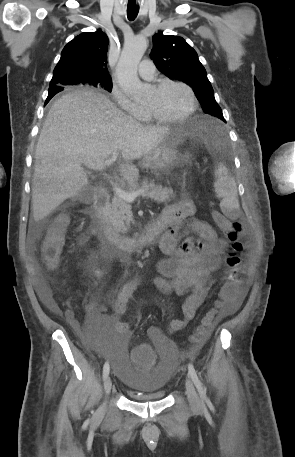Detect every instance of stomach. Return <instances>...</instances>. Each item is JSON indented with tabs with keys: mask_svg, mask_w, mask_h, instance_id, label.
<instances>
[{
	"mask_svg": "<svg viewBox=\"0 0 295 457\" xmlns=\"http://www.w3.org/2000/svg\"><path fill=\"white\" fill-rule=\"evenodd\" d=\"M207 128L201 120L192 119L178 131H172L165 136L163 141L142 160L146 169L169 171L171 168L182 164V156L178 150L179 145L187 139H204Z\"/></svg>",
	"mask_w": 295,
	"mask_h": 457,
	"instance_id": "stomach-1",
	"label": "stomach"
}]
</instances>
